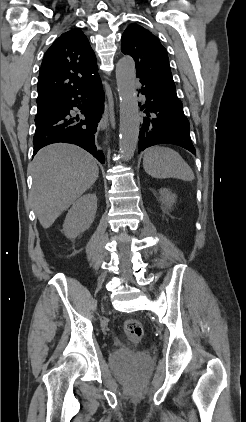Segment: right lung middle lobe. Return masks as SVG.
<instances>
[{
  "label": "right lung middle lobe",
  "instance_id": "dd1d6c3e",
  "mask_svg": "<svg viewBox=\"0 0 246 422\" xmlns=\"http://www.w3.org/2000/svg\"><path fill=\"white\" fill-rule=\"evenodd\" d=\"M42 114H43L42 110H38V111H37V115H36L35 117L40 116V115H42Z\"/></svg>",
  "mask_w": 246,
  "mask_h": 422
}]
</instances>
